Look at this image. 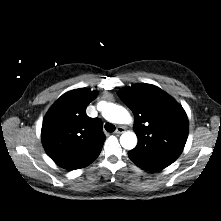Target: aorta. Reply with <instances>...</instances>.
Here are the masks:
<instances>
[{
  "instance_id": "1",
  "label": "aorta",
  "mask_w": 221,
  "mask_h": 221,
  "mask_svg": "<svg viewBox=\"0 0 221 221\" xmlns=\"http://www.w3.org/2000/svg\"><path fill=\"white\" fill-rule=\"evenodd\" d=\"M102 116L109 122L127 124L132 121L129 112L122 106L114 103L103 102ZM120 144L123 148L131 150L137 145V136L134 132H124L120 136Z\"/></svg>"
}]
</instances>
